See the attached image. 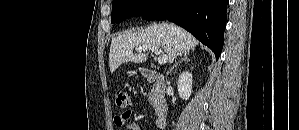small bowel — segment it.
<instances>
[{
    "mask_svg": "<svg viewBox=\"0 0 299 130\" xmlns=\"http://www.w3.org/2000/svg\"><path fill=\"white\" fill-rule=\"evenodd\" d=\"M130 116H131V111H125V112L115 116V119H114L115 124L117 126H123L126 123V121L129 119ZM125 128L128 130H141L140 126L135 122L127 124Z\"/></svg>",
    "mask_w": 299,
    "mask_h": 130,
    "instance_id": "obj_1",
    "label": "small bowel"
}]
</instances>
